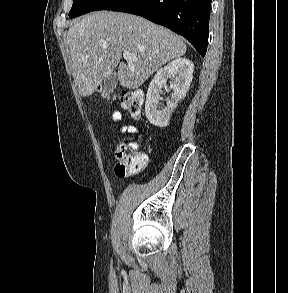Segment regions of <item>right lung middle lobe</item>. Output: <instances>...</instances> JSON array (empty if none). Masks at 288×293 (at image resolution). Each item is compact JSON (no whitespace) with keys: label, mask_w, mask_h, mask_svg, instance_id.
Wrapping results in <instances>:
<instances>
[{"label":"right lung middle lobe","mask_w":288,"mask_h":293,"mask_svg":"<svg viewBox=\"0 0 288 293\" xmlns=\"http://www.w3.org/2000/svg\"><path fill=\"white\" fill-rule=\"evenodd\" d=\"M119 0H73L69 17L74 18L95 10H106Z\"/></svg>","instance_id":"right-lung-middle-lobe-1"}]
</instances>
